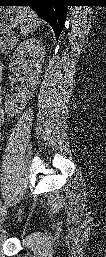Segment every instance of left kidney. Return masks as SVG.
<instances>
[{
  "label": "left kidney",
  "mask_w": 106,
  "mask_h": 257,
  "mask_svg": "<svg viewBox=\"0 0 106 257\" xmlns=\"http://www.w3.org/2000/svg\"><path fill=\"white\" fill-rule=\"evenodd\" d=\"M45 48L43 44L34 38L22 41L13 53L9 69L16 72L24 70V77L19 78L21 86L15 95H8L6 98V109L12 113L18 112L17 103H22L29 95L41 73Z\"/></svg>",
  "instance_id": "5707ae66"
}]
</instances>
